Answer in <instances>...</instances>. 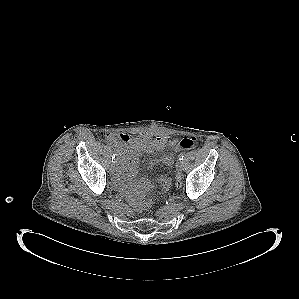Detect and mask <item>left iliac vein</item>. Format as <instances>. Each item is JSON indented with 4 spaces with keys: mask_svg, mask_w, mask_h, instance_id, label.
I'll use <instances>...</instances> for the list:
<instances>
[{
    "mask_svg": "<svg viewBox=\"0 0 299 299\" xmlns=\"http://www.w3.org/2000/svg\"><path fill=\"white\" fill-rule=\"evenodd\" d=\"M176 168L181 171L182 168H183V161L181 160H178L177 163H176Z\"/></svg>",
    "mask_w": 299,
    "mask_h": 299,
    "instance_id": "4c4485c4",
    "label": "left iliac vein"
}]
</instances>
